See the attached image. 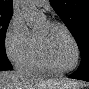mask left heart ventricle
Returning a JSON list of instances; mask_svg holds the SVG:
<instances>
[{
	"mask_svg": "<svg viewBox=\"0 0 89 89\" xmlns=\"http://www.w3.org/2000/svg\"><path fill=\"white\" fill-rule=\"evenodd\" d=\"M35 33H37L43 41L54 68L67 69L74 64V45L62 28L51 26L47 21H43L35 29Z\"/></svg>",
	"mask_w": 89,
	"mask_h": 89,
	"instance_id": "b2bd125f",
	"label": "left heart ventricle"
}]
</instances>
